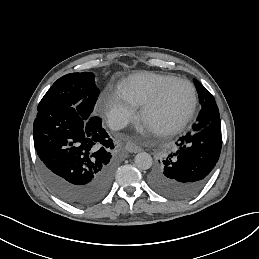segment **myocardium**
I'll return each instance as SVG.
<instances>
[{"instance_id":"1","label":"myocardium","mask_w":259,"mask_h":259,"mask_svg":"<svg viewBox=\"0 0 259 259\" xmlns=\"http://www.w3.org/2000/svg\"><path fill=\"white\" fill-rule=\"evenodd\" d=\"M185 82L191 90V101L187 108L179 114L165 129L157 131L160 136L172 135L178 132L190 119L197 106V91L195 85L184 77L174 76L160 85L155 95L148 99L141 110L140 119L145 117L149 112L158 107L163 100L167 89L175 82Z\"/></svg>"}]
</instances>
